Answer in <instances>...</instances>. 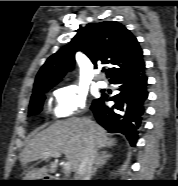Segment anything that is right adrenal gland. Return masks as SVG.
I'll return each mask as SVG.
<instances>
[{
	"label": "right adrenal gland",
	"instance_id": "1",
	"mask_svg": "<svg viewBox=\"0 0 178 186\" xmlns=\"http://www.w3.org/2000/svg\"><path fill=\"white\" fill-rule=\"evenodd\" d=\"M111 157L112 155L108 153L107 151H102L101 153H98L95 159L92 175H95L97 172V169L105 165Z\"/></svg>",
	"mask_w": 178,
	"mask_h": 186
}]
</instances>
